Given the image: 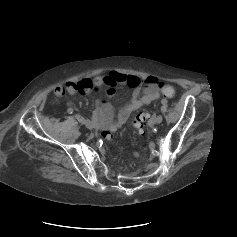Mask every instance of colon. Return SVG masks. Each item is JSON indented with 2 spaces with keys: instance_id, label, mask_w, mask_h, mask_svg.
<instances>
[{
  "instance_id": "5ec220e1",
  "label": "colon",
  "mask_w": 237,
  "mask_h": 237,
  "mask_svg": "<svg viewBox=\"0 0 237 237\" xmlns=\"http://www.w3.org/2000/svg\"><path fill=\"white\" fill-rule=\"evenodd\" d=\"M161 91H162V94L168 98H172L175 96V89L169 84L162 83ZM147 119H148V114L145 111H140L136 114L133 123L138 133H143V128L145 126ZM100 135L102 138L108 139V140L113 138V135L108 131H102Z\"/></svg>"
}]
</instances>
